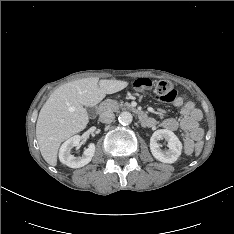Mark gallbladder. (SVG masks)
I'll list each match as a JSON object with an SVG mask.
<instances>
[{"mask_svg":"<svg viewBox=\"0 0 234 234\" xmlns=\"http://www.w3.org/2000/svg\"><path fill=\"white\" fill-rule=\"evenodd\" d=\"M96 112V109L94 107H88L87 108V113L89 116H93Z\"/></svg>","mask_w":234,"mask_h":234,"instance_id":"gallbladder-1","label":"gallbladder"}]
</instances>
